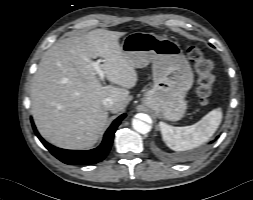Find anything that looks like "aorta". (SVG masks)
Listing matches in <instances>:
<instances>
[{"label": "aorta", "instance_id": "aorta-1", "mask_svg": "<svg viewBox=\"0 0 253 200\" xmlns=\"http://www.w3.org/2000/svg\"><path fill=\"white\" fill-rule=\"evenodd\" d=\"M132 126L134 128V130H136L137 132L141 133V134H146L148 132H150L151 130V126L141 120L138 119H134L132 121Z\"/></svg>", "mask_w": 253, "mask_h": 200}]
</instances>
